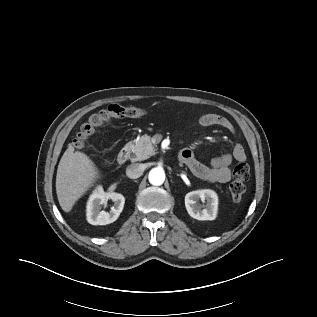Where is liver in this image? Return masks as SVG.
<instances>
[{"label": "liver", "mask_w": 317, "mask_h": 317, "mask_svg": "<svg viewBox=\"0 0 317 317\" xmlns=\"http://www.w3.org/2000/svg\"><path fill=\"white\" fill-rule=\"evenodd\" d=\"M100 173L94 162L83 152H74L69 145L56 175V193L63 211L70 212L75 202L92 186Z\"/></svg>", "instance_id": "obj_1"}]
</instances>
